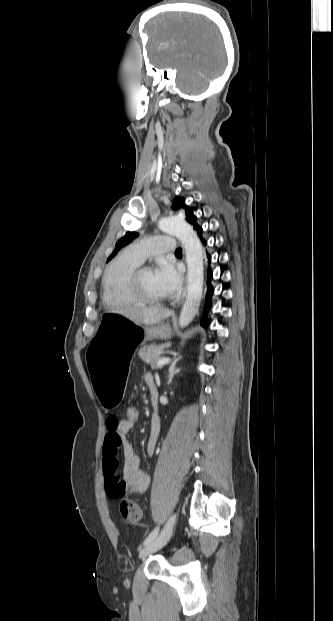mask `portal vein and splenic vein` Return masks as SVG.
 Here are the masks:
<instances>
[{
    "label": "portal vein and splenic vein",
    "instance_id": "18ae733b",
    "mask_svg": "<svg viewBox=\"0 0 333 621\" xmlns=\"http://www.w3.org/2000/svg\"><path fill=\"white\" fill-rule=\"evenodd\" d=\"M170 361H171V358H169V357L160 358L156 362V366H158V367L163 366V365L169 363Z\"/></svg>",
    "mask_w": 333,
    "mask_h": 621
}]
</instances>
